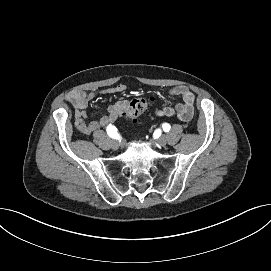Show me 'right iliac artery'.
<instances>
[{"label": "right iliac artery", "mask_w": 271, "mask_h": 271, "mask_svg": "<svg viewBox=\"0 0 271 271\" xmlns=\"http://www.w3.org/2000/svg\"><path fill=\"white\" fill-rule=\"evenodd\" d=\"M106 131H107V134H108L111 138H114V139L117 138V135H118L117 131H118V130H117V128H116L114 125L109 124V125L107 126Z\"/></svg>", "instance_id": "1"}]
</instances>
